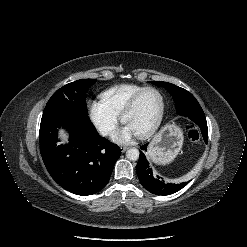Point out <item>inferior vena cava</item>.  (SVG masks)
<instances>
[{
  "label": "inferior vena cava",
  "instance_id": "602c4592",
  "mask_svg": "<svg viewBox=\"0 0 247 247\" xmlns=\"http://www.w3.org/2000/svg\"><path fill=\"white\" fill-rule=\"evenodd\" d=\"M101 132L103 135H107L109 133V128H104V129H102Z\"/></svg>",
  "mask_w": 247,
  "mask_h": 247
}]
</instances>
